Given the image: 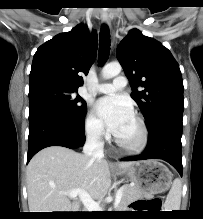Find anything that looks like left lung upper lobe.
<instances>
[{
    "mask_svg": "<svg viewBox=\"0 0 203 219\" xmlns=\"http://www.w3.org/2000/svg\"><path fill=\"white\" fill-rule=\"evenodd\" d=\"M116 55L133 83L131 97L148 129L169 116L183 115V80L178 63L166 47L132 29L118 45ZM138 87L144 90L138 91Z\"/></svg>",
    "mask_w": 203,
    "mask_h": 219,
    "instance_id": "1",
    "label": "left lung upper lobe"
}]
</instances>
